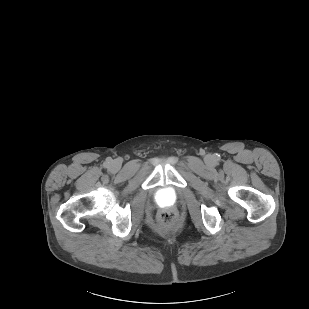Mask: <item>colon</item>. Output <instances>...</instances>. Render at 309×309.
Wrapping results in <instances>:
<instances>
[{"label": "colon", "mask_w": 309, "mask_h": 309, "mask_svg": "<svg viewBox=\"0 0 309 309\" xmlns=\"http://www.w3.org/2000/svg\"><path fill=\"white\" fill-rule=\"evenodd\" d=\"M176 215L171 211H163L158 217V222L163 227H169L174 224Z\"/></svg>", "instance_id": "colon-1"}]
</instances>
